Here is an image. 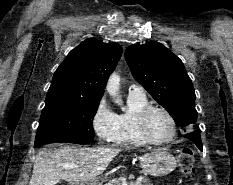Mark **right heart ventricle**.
<instances>
[{"label": "right heart ventricle", "instance_id": "obj_1", "mask_svg": "<svg viewBox=\"0 0 233 185\" xmlns=\"http://www.w3.org/2000/svg\"><path fill=\"white\" fill-rule=\"evenodd\" d=\"M128 109L117 115L118 133L116 143L126 146H144L147 142L141 137L137 127V116L147 107L149 101L145 95L129 94Z\"/></svg>", "mask_w": 233, "mask_h": 185}]
</instances>
